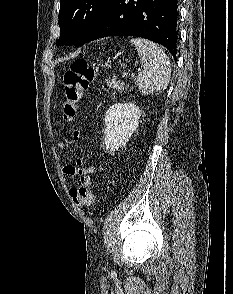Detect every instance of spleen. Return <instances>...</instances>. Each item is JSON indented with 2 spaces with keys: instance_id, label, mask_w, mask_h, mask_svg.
Segmentation results:
<instances>
[{
  "instance_id": "spleen-1",
  "label": "spleen",
  "mask_w": 233,
  "mask_h": 294,
  "mask_svg": "<svg viewBox=\"0 0 233 294\" xmlns=\"http://www.w3.org/2000/svg\"><path fill=\"white\" fill-rule=\"evenodd\" d=\"M143 70L137 77V87L143 95L159 93L166 89L171 76L170 61L165 52L154 42L143 38H132Z\"/></svg>"
}]
</instances>
